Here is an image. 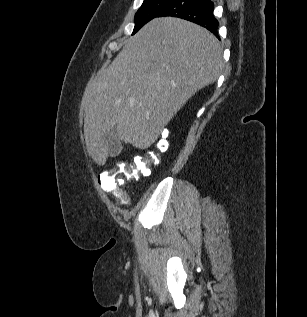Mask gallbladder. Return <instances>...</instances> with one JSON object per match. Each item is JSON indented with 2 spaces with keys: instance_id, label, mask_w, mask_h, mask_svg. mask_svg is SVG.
<instances>
[{
  "instance_id": "obj_1",
  "label": "gallbladder",
  "mask_w": 307,
  "mask_h": 317,
  "mask_svg": "<svg viewBox=\"0 0 307 317\" xmlns=\"http://www.w3.org/2000/svg\"><path fill=\"white\" fill-rule=\"evenodd\" d=\"M106 140L108 141V153L111 157H116L122 150V144L118 136L116 135V129L113 128L107 135Z\"/></svg>"
}]
</instances>
